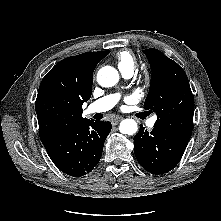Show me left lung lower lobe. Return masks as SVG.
I'll use <instances>...</instances> for the list:
<instances>
[{
  "label": "left lung lower lobe",
  "mask_w": 221,
  "mask_h": 221,
  "mask_svg": "<svg viewBox=\"0 0 221 221\" xmlns=\"http://www.w3.org/2000/svg\"><path fill=\"white\" fill-rule=\"evenodd\" d=\"M188 141V138L171 135L155 126L151 132L140 126L134 136V153L145 170L152 174H163L178 164Z\"/></svg>",
  "instance_id": "left-lung-lower-lobe-1"
}]
</instances>
